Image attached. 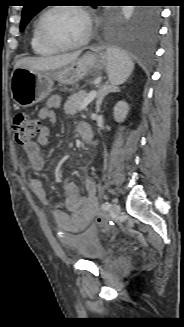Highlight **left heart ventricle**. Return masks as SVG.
Listing matches in <instances>:
<instances>
[{"label":"left heart ventricle","instance_id":"b2bd125f","mask_svg":"<svg viewBox=\"0 0 184 327\" xmlns=\"http://www.w3.org/2000/svg\"><path fill=\"white\" fill-rule=\"evenodd\" d=\"M45 28L48 35L63 44L80 40L87 30V24L79 12L72 9H58L46 18Z\"/></svg>","mask_w":184,"mask_h":327}]
</instances>
